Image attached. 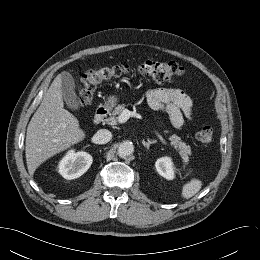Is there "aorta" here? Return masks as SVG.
<instances>
[{
  "instance_id": "1",
  "label": "aorta",
  "mask_w": 260,
  "mask_h": 260,
  "mask_svg": "<svg viewBox=\"0 0 260 260\" xmlns=\"http://www.w3.org/2000/svg\"><path fill=\"white\" fill-rule=\"evenodd\" d=\"M133 152H134V145L130 141H124L118 147V155L121 158H126L132 155Z\"/></svg>"
}]
</instances>
